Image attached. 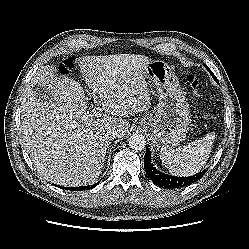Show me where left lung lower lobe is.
Masks as SVG:
<instances>
[{
	"label": "left lung lower lobe",
	"instance_id": "obj_1",
	"mask_svg": "<svg viewBox=\"0 0 249 249\" xmlns=\"http://www.w3.org/2000/svg\"><path fill=\"white\" fill-rule=\"evenodd\" d=\"M151 153L148 147H146V154L144 157V168L149 178L159 187L163 188H180L191 185L192 183L200 180L206 173V170L189 177H175L160 172L151 163Z\"/></svg>",
	"mask_w": 249,
	"mask_h": 249
}]
</instances>
